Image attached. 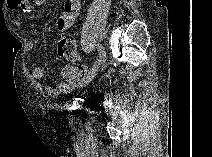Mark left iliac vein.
Wrapping results in <instances>:
<instances>
[{"label": "left iliac vein", "instance_id": "obj_1", "mask_svg": "<svg viewBox=\"0 0 212 157\" xmlns=\"http://www.w3.org/2000/svg\"><path fill=\"white\" fill-rule=\"evenodd\" d=\"M105 61L106 59L99 58V60L95 63L93 68L90 70V72L86 76V78L80 83L79 87H84L88 85L94 79L99 69H102L104 67Z\"/></svg>", "mask_w": 212, "mask_h": 157}]
</instances>
